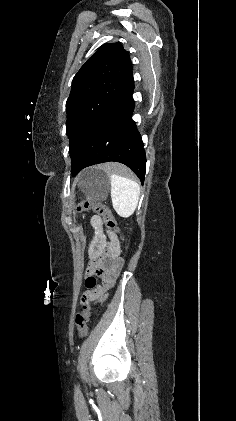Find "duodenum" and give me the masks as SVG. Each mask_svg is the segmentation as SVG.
I'll use <instances>...</instances> for the list:
<instances>
[{"mask_svg": "<svg viewBox=\"0 0 236 421\" xmlns=\"http://www.w3.org/2000/svg\"><path fill=\"white\" fill-rule=\"evenodd\" d=\"M100 258L103 285L108 288L111 286L114 277L119 273L122 263L115 251H111L110 254L102 253Z\"/></svg>", "mask_w": 236, "mask_h": 421, "instance_id": "1", "label": "duodenum"}]
</instances>
